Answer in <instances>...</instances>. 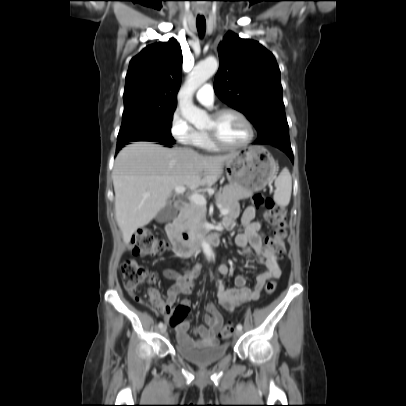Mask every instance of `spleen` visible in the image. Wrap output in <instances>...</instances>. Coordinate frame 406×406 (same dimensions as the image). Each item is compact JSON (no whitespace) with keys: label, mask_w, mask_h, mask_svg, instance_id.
I'll return each instance as SVG.
<instances>
[{"label":"spleen","mask_w":406,"mask_h":406,"mask_svg":"<svg viewBox=\"0 0 406 406\" xmlns=\"http://www.w3.org/2000/svg\"><path fill=\"white\" fill-rule=\"evenodd\" d=\"M275 202L280 206H287L292 192V177L288 169L284 168L275 180Z\"/></svg>","instance_id":"1"}]
</instances>
